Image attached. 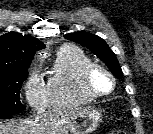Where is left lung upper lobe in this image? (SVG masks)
I'll return each instance as SVG.
<instances>
[{
    "mask_svg": "<svg viewBox=\"0 0 153 134\" xmlns=\"http://www.w3.org/2000/svg\"><path fill=\"white\" fill-rule=\"evenodd\" d=\"M64 37L73 42H77L78 44L84 47H87L90 51L93 52L94 55H96L108 66L110 71L116 77L119 78L123 76V72L115 54L106 44V42L99 36L88 32L80 31L76 33L66 34L64 35Z\"/></svg>",
    "mask_w": 153,
    "mask_h": 134,
    "instance_id": "left-lung-upper-lobe-1",
    "label": "left lung upper lobe"
}]
</instances>
